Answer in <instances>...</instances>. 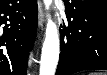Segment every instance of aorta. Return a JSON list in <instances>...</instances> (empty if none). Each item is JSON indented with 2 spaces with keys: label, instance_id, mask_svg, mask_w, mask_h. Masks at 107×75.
<instances>
[{
  "label": "aorta",
  "instance_id": "762f6f07",
  "mask_svg": "<svg viewBox=\"0 0 107 75\" xmlns=\"http://www.w3.org/2000/svg\"><path fill=\"white\" fill-rule=\"evenodd\" d=\"M46 9H48L52 0H44ZM59 34L57 25L48 18L46 25V36L43 43L40 75H54L59 59Z\"/></svg>",
  "mask_w": 107,
  "mask_h": 75
}]
</instances>
